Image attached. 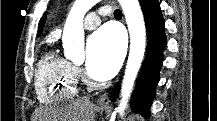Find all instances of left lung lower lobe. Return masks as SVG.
Instances as JSON below:
<instances>
[{"mask_svg": "<svg viewBox=\"0 0 217 121\" xmlns=\"http://www.w3.org/2000/svg\"><path fill=\"white\" fill-rule=\"evenodd\" d=\"M147 29L148 45L140 77L132 97V110L148 118L149 109L155 96V87L159 81V70L166 46L165 25L157 0H139ZM118 94L115 89L112 98Z\"/></svg>", "mask_w": 217, "mask_h": 121, "instance_id": "left-lung-lower-lobe-1", "label": "left lung lower lobe"}]
</instances>
